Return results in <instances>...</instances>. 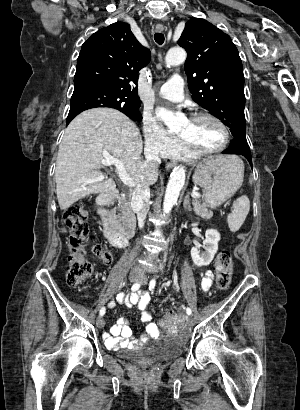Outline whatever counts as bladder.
Masks as SVG:
<instances>
[{
  "label": "bladder",
  "instance_id": "31cf9c89",
  "mask_svg": "<svg viewBox=\"0 0 300 410\" xmlns=\"http://www.w3.org/2000/svg\"><path fill=\"white\" fill-rule=\"evenodd\" d=\"M182 353V345L170 340L160 344L147 345L143 348L125 351L123 354L138 363H151L167 358L177 357Z\"/></svg>",
  "mask_w": 300,
  "mask_h": 410
}]
</instances>
